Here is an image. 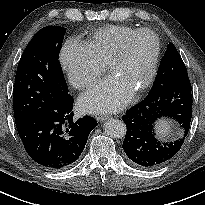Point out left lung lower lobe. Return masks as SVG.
Masks as SVG:
<instances>
[{"label":"left lung lower lobe","instance_id":"0a47b994","mask_svg":"<svg viewBox=\"0 0 205 205\" xmlns=\"http://www.w3.org/2000/svg\"><path fill=\"white\" fill-rule=\"evenodd\" d=\"M191 90L188 76L154 86L143 101L122 117L127 126L123 149L132 164L141 168H154L180 150L192 118ZM161 117L179 122L184 129L183 138L170 143L156 139L154 124Z\"/></svg>","mask_w":205,"mask_h":205}]
</instances>
